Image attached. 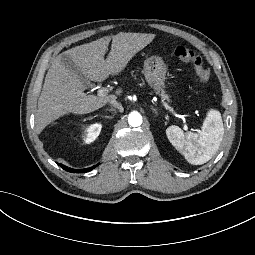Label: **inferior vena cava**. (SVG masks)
I'll list each match as a JSON object with an SVG mask.
<instances>
[{"instance_id": "inferior-vena-cava-1", "label": "inferior vena cava", "mask_w": 255, "mask_h": 255, "mask_svg": "<svg viewBox=\"0 0 255 255\" xmlns=\"http://www.w3.org/2000/svg\"><path fill=\"white\" fill-rule=\"evenodd\" d=\"M111 106H113L115 109H117L119 112H123L124 108L120 102H118L116 99L110 100Z\"/></svg>"}]
</instances>
